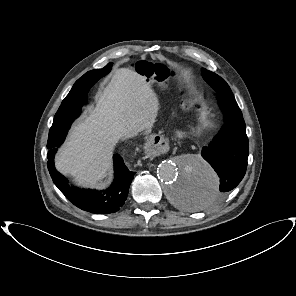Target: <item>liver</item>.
Returning <instances> with one entry per match:
<instances>
[{
    "label": "liver",
    "instance_id": "1",
    "mask_svg": "<svg viewBox=\"0 0 296 296\" xmlns=\"http://www.w3.org/2000/svg\"><path fill=\"white\" fill-rule=\"evenodd\" d=\"M158 110V98L145 77L128 68L116 70L95 108L73 127L56 157L57 169L79 184H99L120 133L151 129Z\"/></svg>",
    "mask_w": 296,
    "mask_h": 296
}]
</instances>
